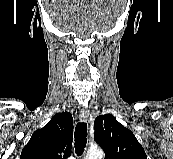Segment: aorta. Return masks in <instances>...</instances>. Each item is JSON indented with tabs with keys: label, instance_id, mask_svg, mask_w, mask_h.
I'll return each instance as SVG.
<instances>
[{
	"label": "aorta",
	"instance_id": "obj_1",
	"mask_svg": "<svg viewBox=\"0 0 173 159\" xmlns=\"http://www.w3.org/2000/svg\"><path fill=\"white\" fill-rule=\"evenodd\" d=\"M103 151L99 148L88 150L84 159H103Z\"/></svg>",
	"mask_w": 173,
	"mask_h": 159
}]
</instances>
